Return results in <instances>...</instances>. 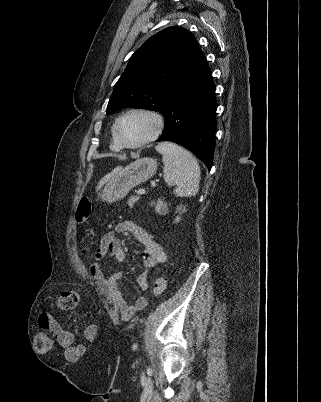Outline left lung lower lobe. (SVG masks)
I'll return each mask as SVG.
<instances>
[{"instance_id": "0a47b994", "label": "left lung lower lobe", "mask_w": 321, "mask_h": 402, "mask_svg": "<svg viewBox=\"0 0 321 402\" xmlns=\"http://www.w3.org/2000/svg\"><path fill=\"white\" fill-rule=\"evenodd\" d=\"M215 85L203 56L169 93L162 108L165 128L156 141H171L194 153L210 170L215 149Z\"/></svg>"}]
</instances>
